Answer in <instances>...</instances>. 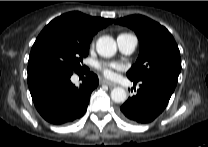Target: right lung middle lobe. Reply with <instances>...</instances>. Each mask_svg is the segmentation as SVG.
Instances as JSON below:
<instances>
[{"instance_id":"right-lung-middle-lobe-1","label":"right lung middle lobe","mask_w":208,"mask_h":147,"mask_svg":"<svg viewBox=\"0 0 208 147\" xmlns=\"http://www.w3.org/2000/svg\"><path fill=\"white\" fill-rule=\"evenodd\" d=\"M89 41L68 34H53L32 46L28 74L38 71L79 72L88 55Z\"/></svg>"}]
</instances>
